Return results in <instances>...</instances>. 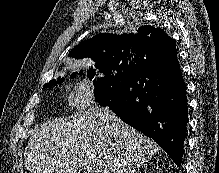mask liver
I'll return each instance as SVG.
<instances>
[{
    "mask_svg": "<svg viewBox=\"0 0 219 173\" xmlns=\"http://www.w3.org/2000/svg\"><path fill=\"white\" fill-rule=\"evenodd\" d=\"M159 150L109 108L95 106L41 124L25 148L32 173H134Z\"/></svg>",
    "mask_w": 219,
    "mask_h": 173,
    "instance_id": "1",
    "label": "liver"
}]
</instances>
